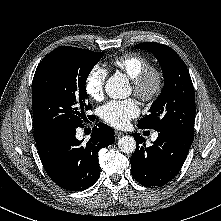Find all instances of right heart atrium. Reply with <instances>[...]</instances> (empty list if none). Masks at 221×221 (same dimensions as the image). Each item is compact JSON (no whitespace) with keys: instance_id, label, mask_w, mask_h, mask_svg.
Returning <instances> with one entry per match:
<instances>
[{"instance_id":"right-heart-atrium-1","label":"right heart atrium","mask_w":221,"mask_h":221,"mask_svg":"<svg viewBox=\"0 0 221 221\" xmlns=\"http://www.w3.org/2000/svg\"><path fill=\"white\" fill-rule=\"evenodd\" d=\"M107 75V69L98 64L89 70L84 82V90L89 98L95 101L103 98Z\"/></svg>"}]
</instances>
